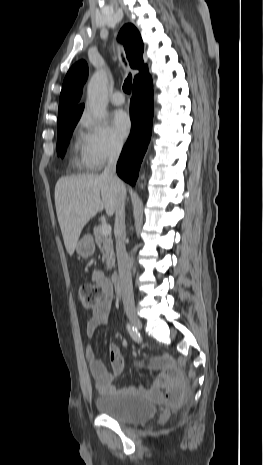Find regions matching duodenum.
Returning <instances> with one entry per match:
<instances>
[{
  "mask_svg": "<svg viewBox=\"0 0 263 465\" xmlns=\"http://www.w3.org/2000/svg\"><path fill=\"white\" fill-rule=\"evenodd\" d=\"M111 282H112V284L114 286L116 294L118 296H121L122 295L121 280H120V276L117 273L112 274Z\"/></svg>",
  "mask_w": 263,
  "mask_h": 465,
  "instance_id": "duodenum-1",
  "label": "duodenum"
}]
</instances>
